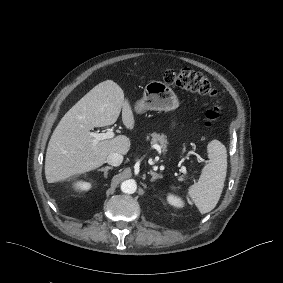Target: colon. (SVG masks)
Listing matches in <instances>:
<instances>
[{
    "label": "colon",
    "instance_id": "5ec220e1",
    "mask_svg": "<svg viewBox=\"0 0 283 283\" xmlns=\"http://www.w3.org/2000/svg\"><path fill=\"white\" fill-rule=\"evenodd\" d=\"M163 80L166 84L187 90L200 95L215 97L216 89L213 87L208 77L202 73L185 68L181 70H167L163 74ZM220 116V107L212 106L206 113L204 127L209 128L218 120Z\"/></svg>",
    "mask_w": 283,
    "mask_h": 283
}]
</instances>
